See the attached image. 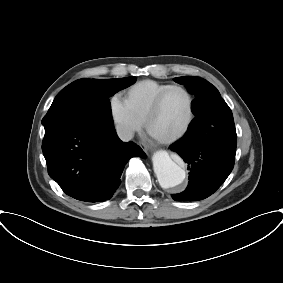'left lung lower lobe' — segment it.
Segmentation results:
<instances>
[{
	"mask_svg": "<svg viewBox=\"0 0 283 283\" xmlns=\"http://www.w3.org/2000/svg\"><path fill=\"white\" fill-rule=\"evenodd\" d=\"M211 104L216 109L209 107V112L199 111L186 134L170 146L190 170L186 190L172 195L176 201H195L209 197L233 169L236 145L210 141L208 134L213 132L211 123H221L217 116L223 113L226 103L223 99H213Z\"/></svg>",
	"mask_w": 283,
	"mask_h": 283,
	"instance_id": "0a47b994",
	"label": "left lung lower lobe"
}]
</instances>
